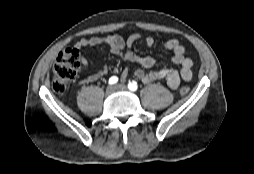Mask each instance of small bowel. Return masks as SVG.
<instances>
[{
  "instance_id": "small-bowel-1",
  "label": "small bowel",
  "mask_w": 254,
  "mask_h": 174,
  "mask_svg": "<svg viewBox=\"0 0 254 174\" xmlns=\"http://www.w3.org/2000/svg\"><path fill=\"white\" fill-rule=\"evenodd\" d=\"M142 38L140 33H133L127 39L119 35L110 36H94L90 38H82L76 44L78 49L86 47H106L112 54L122 57L123 59L139 64L145 69H150L155 65V59L150 56H140L133 52L134 43ZM145 45L153 46L154 38L147 36L144 39ZM164 48L172 53V62L179 66V69L161 68L156 70L145 71L137 69L135 76L144 83L166 81L169 87L177 89L181 81H190L192 79V60L186 56L184 46L177 39H170L165 42ZM81 65L86 68L88 60L84 56H80ZM108 67L104 65L98 72L91 74L86 79L80 80L78 85L83 86L87 83L94 82L108 74ZM127 72L122 75L125 79Z\"/></svg>"
}]
</instances>
